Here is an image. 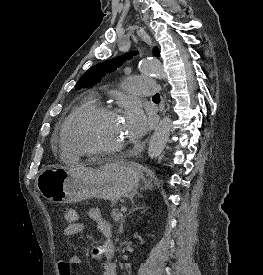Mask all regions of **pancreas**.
<instances>
[{
  "label": "pancreas",
  "instance_id": "cf45deb5",
  "mask_svg": "<svg viewBox=\"0 0 263 275\" xmlns=\"http://www.w3.org/2000/svg\"><path fill=\"white\" fill-rule=\"evenodd\" d=\"M111 216L115 221H119L122 218L123 215H122L121 212H119L118 209H113L111 211Z\"/></svg>",
  "mask_w": 263,
  "mask_h": 275
}]
</instances>
